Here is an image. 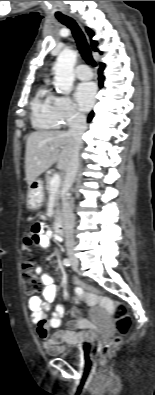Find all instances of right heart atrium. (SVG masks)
I'll list each match as a JSON object with an SVG mask.
<instances>
[{
    "mask_svg": "<svg viewBox=\"0 0 155 395\" xmlns=\"http://www.w3.org/2000/svg\"><path fill=\"white\" fill-rule=\"evenodd\" d=\"M53 113L58 127L69 126L83 119V116L68 96L54 97Z\"/></svg>",
    "mask_w": 155,
    "mask_h": 395,
    "instance_id": "obj_1",
    "label": "right heart atrium"
}]
</instances>
